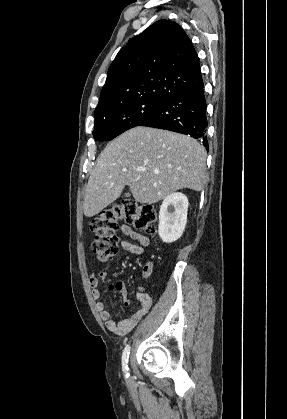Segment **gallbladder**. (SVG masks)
Segmentation results:
<instances>
[{
	"label": "gallbladder",
	"instance_id": "obj_1",
	"mask_svg": "<svg viewBox=\"0 0 287 419\" xmlns=\"http://www.w3.org/2000/svg\"><path fill=\"white\" fill-rule=\"evenodd\" d=\"M125 195H126V196H130V194H129V193H126Z\"/></svg>",
	"mask_w": 287,
	"mask_h": 419
}]
</instances>
